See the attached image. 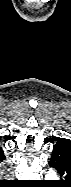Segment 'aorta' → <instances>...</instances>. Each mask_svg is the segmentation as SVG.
Returning a JSON list of instances; mask_svg holds the SVG:
<instances>
[{
  "label": "aorta",
  "instance_id": "aorta-1",
  "mask_svg": "<svg viewBox=\"0 0 71 187\" xmlns=\"http://www.w3.org/2000/svg\"><path fill=\"white\" fill-rule=\"evenodd\" d=\"M45 180H59V176L54 169H49L45 175Z\"/></svg>",
  "mask_w": 71,
  "mask_h": 187
}]
</instances>
